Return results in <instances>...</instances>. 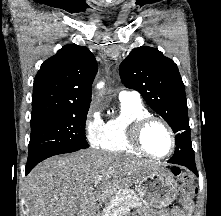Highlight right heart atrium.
I'll return each mask as SVG.
<instances>
[{"label": "right heart atrium", "mask_w": 221, "mask_h": 216, "mask_svg": "<svg viewBox=\"0 0 221 216\" xmlns=\"http://www.w3.org/2000/svg\"><path fill=\"white\" fill-rule=\"evenodd\" d=\"M104 130V121L98 108L90 106L84 121V134L86 140L92 147L100 145Z\"/></svg>", "instance_id": "obj_1"}]
</instances>
